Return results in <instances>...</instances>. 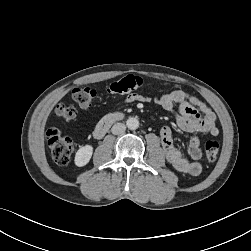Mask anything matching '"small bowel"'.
Instances as JSON below:
<instances>
[{
	"instance_id": "c3829d8e",
	"label": "small bowel",
	"mask_w": 251,
	"mask_h": 251,
	"mask_svg": "<svg viewBox=\"0 0 251 251\" xmlns=\"http://www.w3.org/2000/svg\"><path fill=\"white\" fill-rule=\"evenodd\" d=\"M154 102L165 111L174 115L176 125L183 131L193 133L189 141L188 154L190 160L174 144L170 127L160 130V138L168 162L179 172L197 176L202 171L199 160L202 157L200 139L196 133H209L217 136L219 130L216 116L211 108L194 94L175 90L161 96L148 97L138 94L127 96L125 103ZM177 106V109L175 107Z\"/></svg>"
}]
</instances>
